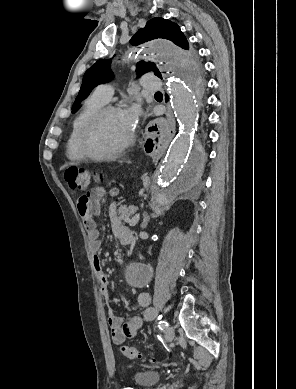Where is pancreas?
<instances>
[{"label":"pancreas","instance_id":"pancreas-1","mask_svg":"<svg viewBox=\"0 0 296 389\" xmlns=\"http://www.w3.org/2000/svg\"><path fill=\"white\" fill-rule=\"evenodd\" d=\"M136 212V207L135 206H120L118 209V214H119V219L129 223L130 222V217Z\"/></svg>","mask_w":296,"mask_h":389}]
</instances>
